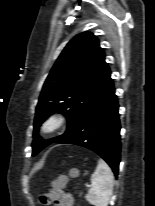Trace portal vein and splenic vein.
<instances>
[{
	"label": "portal vein and splenic vein",
	"instance_id": "obj_1",
	"mask_svg": "<svg viewBox=\"0 0 155 206\" xmlns=\"http://www.w3.org/2000/svg\"><path fill=\"white\" fill-rule=\"evenodd\" d=\"M86 187H90V185L86 184Z\"/></svg>",
	"mask_w": 155,
	"mask_h": 206
}]
</instances>
